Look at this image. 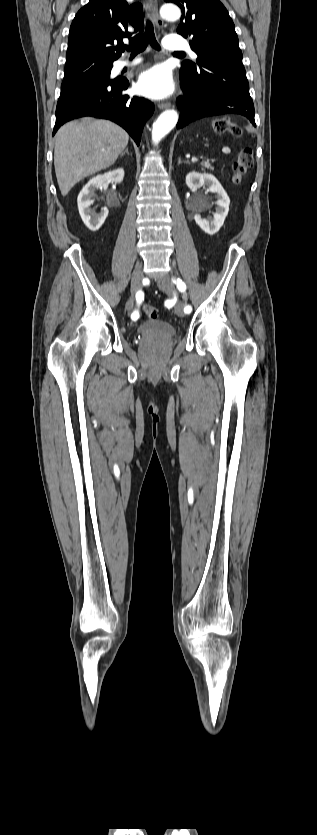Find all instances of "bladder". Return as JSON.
I'll use <instances>...</instances> for the list:
<instances>
[{"mask_svg": "<svg viewBox=\"0 0 317 835\" xmlns=\"http://www.w3.org/2000/svg\"><path fill=\"white\" fill-rule=\"evenodd\" d=\"M139 337L150 341H165L171 339L176 330L167 321L161 319H149L142 322L136 330Z\"/></svg>", "mask_w": 317, "mask_h": 835, "instance_id": "1", "label": "bladder"}]
</instances>
